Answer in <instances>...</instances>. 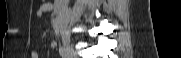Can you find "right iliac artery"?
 <instances>
[{
    "mask_svg": "<svg viewBox=\"0 0 181 58\" xmlns=\"http://www.w3.org/2000/svg\"><path fill=\"white\" fill-rule=\"evenodd\" d=\"M59 53H60V55L62 56V58H67V53H66L64 47L61 46V47L59 48Z\"/></svg>",
    "mask_w": 181,
    "mask_h": 58,
    "instance_id": "obj_1",
    "label": "right iliac artery"
}]
</instances>
